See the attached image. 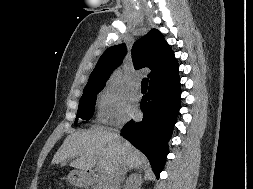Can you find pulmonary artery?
Segmentation results:
<instances>
[{
    "instance_id": "obj_1",
    "label": "pulmonary artery",
    "mask_w": 253,
    "mask_h": 189,
    "mask_svg": "<svg viewBox=\"0 0 253 189\" xmlns=\"http://www.w3.org/2000/svg\"><path fill=\"white\" fill-rule=\"evenodd\" d=\"M134 89H135V91H140V89H141V84H140V82H136V83L134 84Z\"/></svg>"
}]
</instances>
